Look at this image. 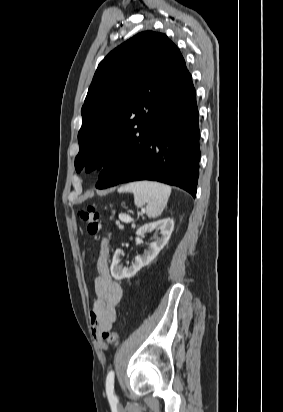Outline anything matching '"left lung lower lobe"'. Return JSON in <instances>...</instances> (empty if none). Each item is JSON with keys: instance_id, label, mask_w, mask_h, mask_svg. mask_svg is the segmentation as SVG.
I'll list each match as a JSON object with an SVG mask.
<instances>
[{"instance_id": "0a47b994", "label": "left lung lower lobe", "mask_w": 283, "mask_h": 412, "mask_svg": "<svg viewBox=\"0 0 283 412\" xmlns=\"http://www.w3.org/2000/svg\"><path fill=\"white\" fill-rule=\"evenodd\" d=\"M199 136L196 92L189 74L146 133L109 157L96 187L104 189L130 181L153 180L180 187L195 197Z\"/></svg>"}]
</instances>
